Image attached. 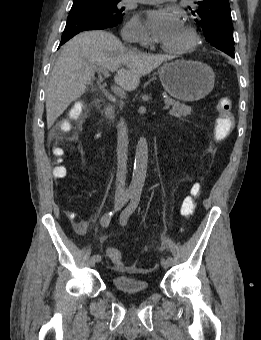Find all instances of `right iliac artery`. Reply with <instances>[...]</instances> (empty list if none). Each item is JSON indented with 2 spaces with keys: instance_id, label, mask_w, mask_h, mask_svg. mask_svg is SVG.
I'll list each match as a JSON object with an SVG mask.
<instances>
[{
  "instance_id": "obj_1",
  "label": "right iliac artery",
  "mask_w": 261,
  "mask_h": 340,
  "mask_svg": "<svg viewBox=\"0 0 261 340\" xmlns=\"http://www.w3.org/2000/svg\"><path fill=\"white\" fill-rule=\"evenodd\" d=\"M131 194L127 193L124 198L122 199L121 205H124L130 198H131ZM119 209V207H116L114 210H111L109 212H106L102 218H101V225L102 227L107 228L113 215L115 214V212ZM93 258L95 260V262H100L101 261V256L98 254L93 255Z\"/></svg>"
}]
</instances>
